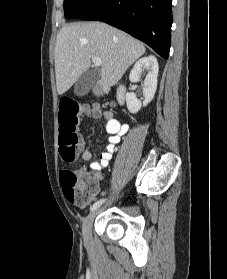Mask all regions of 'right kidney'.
I'll list each match as a JSON object with an SVG mask.
<instances>
[{
  "label": "right kidney",
  "instance_id": "obj_1",
  "mask_svg": "<svg viewBox=\"0 0 227 279\" xmlns=\"http://www.w3.org/2000/svg\"><path fill=\"white\" fill-rule=\"evenodd\" d=\"M147 71L148 74L144 80L143 89H144V101L141 103L137 99L136 94L133 92H128L126 94V104L128 110L135 114L137 113L142 106H147L148 103L154 98L156 89H157V76H158V61L155 56L149 55L139 59L133 66L129 79L131 82H139L141 73Z\"/></svg>",
  "mask_w": 227,
  "mask_h": 279
}]
</instances>
